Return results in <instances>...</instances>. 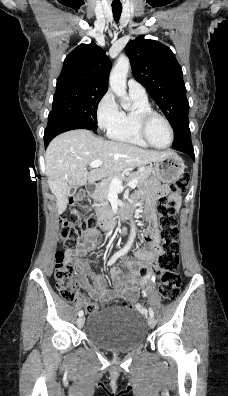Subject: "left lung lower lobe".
<instances>
[{
	"mask_svg": "<svg viewBox=\"0 0 228 396\" xmlns=\"http://www.w3.org/2000/svg\"><path fill=\"white\" fill-rule=\"evenodd\" d=\"M172 147L175 150L188 154L193 160L195 159L188 120L182 127L176 130Z\"/></svg>",
	"mask_w": 228,
	"mask_h": 396,
	"instance_id": "1",
	"label": "left lung lower lobe"
}]
</instances>
